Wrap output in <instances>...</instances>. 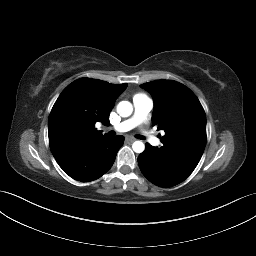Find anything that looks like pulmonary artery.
Listing matches in <instances>:
<instances>
[{"instance_id":"obj_1","label":"pulmonary artery","mask_w":256,"mask_h":256,"mask_svg":"<svg viewBox=\"0 0 256 256\" xmlns=\"http://www.w3.org/2000/svg\"><path fill=\"white\" fill-rule=\"evenodd\" d=\"M134 114L131 118L124 120L112 128L116 132H128L133 128L140 126L147 118L148 114L153 108V101L145 96H136L133 98ZM146 140L154 146L160 144V140L150 134L144 135Z\"/></svg>"}]
</instances>
